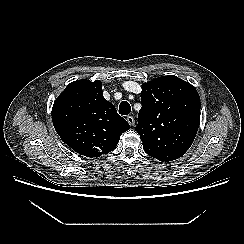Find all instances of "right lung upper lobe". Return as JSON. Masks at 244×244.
<instances>
[{
	"instance_id": "obj_1",
	"label": "right lung upper lobe",
	"mask_w": 244,
	"mask_h": 244,
	"mask_svg": "<svg viewBox=\"0 0 244 244\" xmlns=\"http://www.w3.org/2000/svg\"><path fill=\"white\" fill-rule=\"evenodd\" d=\"M52 121L56 132L75 152L99 157L117 146L130 126L104 99L101 81L70 83L55 100Z\"/></svg>"
}]
</instances>
